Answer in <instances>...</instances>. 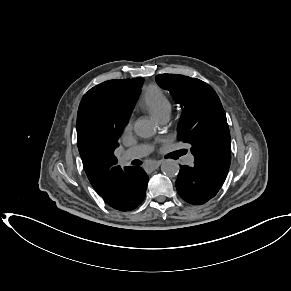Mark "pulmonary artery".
<instances>
[{
  "mask_svg": "<svg viewBox=\"0 0 291 291\" xmlns=\"http://www.w3.org/2000/svg\"><path fill=\"white\" fill-rule=\"evenodd\" d=\"M168 119H169V115L166 114V115L159 117L157 120L160 123L164 124L168 121ZM150 151H151V147L148 145H139V146L132 147V148L126 150L121 155V161L123 163H127L131 160L142 158V157L146 156ZM193 161H194L193 154H189L185 159V163L188 165H192Z\"/></svg>",
  "mask_w": 291,
  "mask_h": 291,
  "instance_id": "e3ab8cb5",
  "label": "pulmonary artery"
}]
</instances>
